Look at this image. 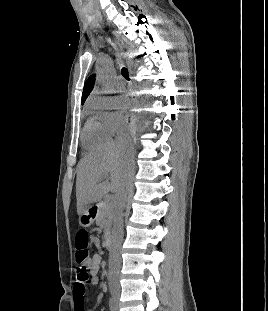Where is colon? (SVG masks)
<instances>
[{
    "label": "colon",
    "instance_id": "colon-1",
    "mask_svg": "<svg viewBox=\"0 0 268 311\" xmlns=\"http://www.w3.org/2000/svg\"><path fill=\"white\" fill-rule=\"evenodd\" d=\"M89 236L86 230H81L76 236V254L75 259L77 263L76 278L80 283L79 290L85 293L84 282L89 278V263L90 253L88 250Z\"/></svg>",
    "mask_w": 268,
    "mask_h": 311
}]
</instances>
